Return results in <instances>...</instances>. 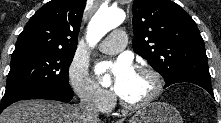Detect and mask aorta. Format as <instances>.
Listing matches in <instances>:
<instances>
[{
  "instance_id": "obj_1",
  "label": "aorta",
  "mask_w": 221,
  "mask_h": 123,
  "mask_svg": "<svg viewBox=\"0 0 221 123\" xmlns=\"http://www.w3.org/2000/svg\"><path fill=\"white\" fill-rule=\"evenodd\" d=\"M125 20V13L121 9H99L89 22L87 29V42L89 45L98 43L110 30L118 27ZM110 83V77L105 75L103 85Z\"/></svg>"
}]
</instances>
